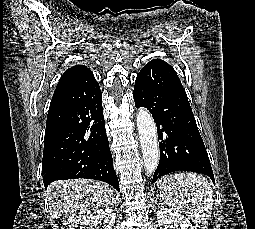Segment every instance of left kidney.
<instances>
[{"label": "left kidney", "instance_id": "obj_1", "mask_svg": "<svg viewBox=\"0 0 255 229\" xmlns=\"http://www.w3.org/2000/svg\"><path fill=\"white\" fill-rule=\"evenodd\" d=\"M158 225L160 229L175 227L176 229H194L192 223L182 214L172 209L161 207L157 212Z\"/></svg>", "mask_w": 255, "mask_h": 229}]
</instances>
